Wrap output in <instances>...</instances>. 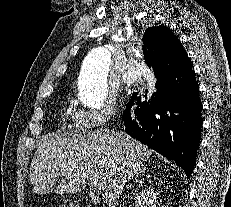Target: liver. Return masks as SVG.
Here are the masks:
<instances>
[{"label":"liver","instance_id":"6515ba94","mask_svg":"<svg viewBox=\"0 0 231 207\" xmlns=\"http://www.w3.org/2000/svg\"><path fill=\"white\" fill-rule=\"evenodd\" d=\"M153 153L123 131L97 130L71 137L51 134L39 141L29 179L38 194L52 189L57 194L77 193L88 180L97 181L104 203L116 207L125 184Z\"/></svg>","mask_w":231,"mask_h":207}]
</instances>
